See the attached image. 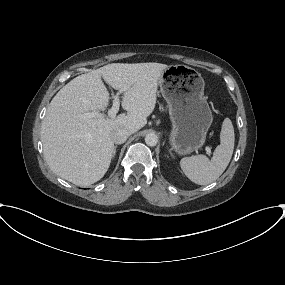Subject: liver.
<instances>
[{
	"label": "liver",
	"instance_id": "6515ba94",
	"mask_svg": "<svg viewBox=\"0 0 285 285\" xmlns=\"http://www.w3.org/2000/svg\"><path fill=\"white\" fill-rule=\"evenodd\" d=\"M168 66L161 63H112L82 74L54 96L41 126L43 152L50 168L78 186L99 181L113 157L111 132L124 128L131 134L143 128L153 112L159 80ZM104 81L123 93L127 114L116 118L83 115L105 110L109 92Z\"/></svg>",
	"mask_w": 285,
	"mask_h": 285
}]
</instances>
